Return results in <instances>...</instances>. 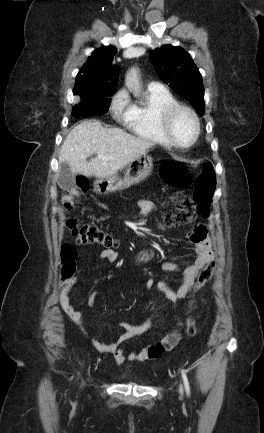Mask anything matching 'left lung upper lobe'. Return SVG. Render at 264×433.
<instances>
[{
	"label": "left lung upper lobe",
	"mask_w": 264,
	"mask_h": 433,
	"mask_svg": "<svg viewBox=\"0 0 264 433\" xmlns=\"http://www.w3.org/2000/svg\"><path fill=\"white\" fill-rule=\"evenodd\" d=\"M150 58L160 78L202 116L205 112L202 76L188 52L164 45L150 53Z\"/></svg>",
	"instance_id": "left-lung-upper-lobe-1"
}]
</instances>
